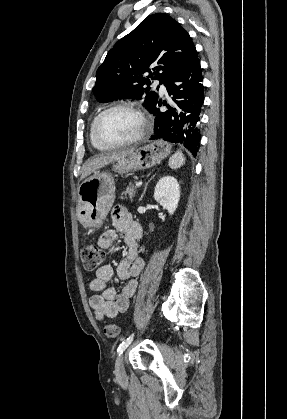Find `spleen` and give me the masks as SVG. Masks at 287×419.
Returning a JSON list of instances; mask_svg holds the SVG:
<instances>
[{"label":"spleen","instance_id":"1","mask_svg":"<svg viewBox=\"0 0 287 419\" xmlns=\"http://www.w3.org/2000/svg\"><path fill=\"white\" fill-rule=\"evenodd\" d=\"M185 164V158L183 153L178 150L169 159L168 165L172 169L180 168Z\"/></svg>","mask_w":287,"mask_h":419}]
</instances>
